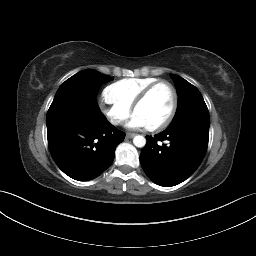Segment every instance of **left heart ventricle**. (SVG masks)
<instances>
[{
  "label": "left heart ventricle",
  "instance_id": "obj_1",
  "mask_svg": "<svg viewBox=\"0 0 256 256\" xmlns=\"http://www.w3.org/2000/svg\"><path fill=\"white\" fill-rule=\"evenodd\" d=\"M172 101L171 89L167 85H160L151 92L146 101L134 113L145 122L147 127L153 126L167 116Z\"/></svg>",
  "mask_w": 256,
  "mask_h": 256
}]
</instances>
